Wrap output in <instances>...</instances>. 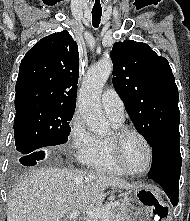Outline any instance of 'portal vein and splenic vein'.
I'll return each mask as SVG.
<instances>
[{"mask_svg":"<svg viewBox=\"0 0 190 221\" xmlns=\"http://www.w3.org/2000/svg\"><path fill=\"white\" fill-rule=\"evenodd\" d=\"M118 202H111L107 204L106 207H89L86 209L85 213L89 218H101L103 221H110L109 211L111 208L118 206ZM80 215V212L77 210H73L66 217L67 219L74 220Z\"/></svg>","mask_w":190,"mask_h":221,"instance_id":"1","label":"portal vein and splenic vein"}]
</instances>
